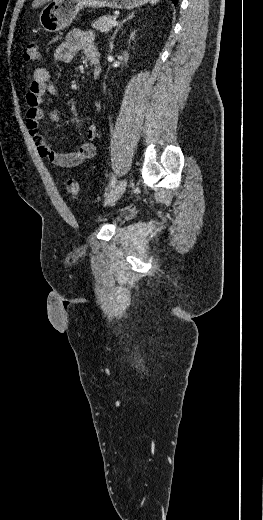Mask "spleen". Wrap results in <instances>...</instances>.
<instances>
[{"label": "spleen", "mask_w": 263, "mask_h": 520, "mask_svg": "<svg viewBox=\"0 0 263 520\" xmlns=\"http://www.w3.org/2000/svg\"><path fill=\"white\" fill-rule=\"evenodd\" d=\"M159 0H150L151 4H156Z\"/></svg>", "instance_id": "spleen-1"}]
</instances>
